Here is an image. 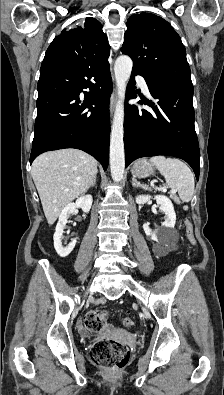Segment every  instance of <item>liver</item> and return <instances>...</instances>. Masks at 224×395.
I'll return each instance as SVG.
<instances>
[{"label":"liver","instance_id":"1","mask_svg":"<svg viewBox=\"0 0 224 395\" xmlns=\"http://www.w3.org/2000/svg\"><path fill=\"white\" fill-rule=\"evenodd\" d=\"M97 161L78 149H62L39 155L32 164L47 222L52 225L62 210L85 193L97 174Z\"/></svg>","mask_w":224,"mask_h":395}]
</instances>
